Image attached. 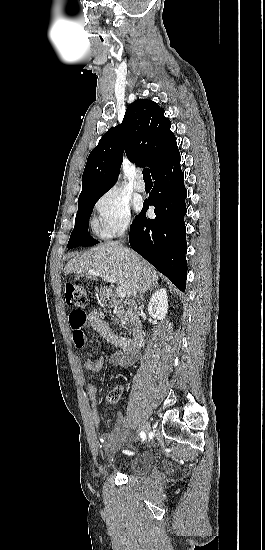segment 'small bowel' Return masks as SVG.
<instances>
[{
  "instance_id": "1",
  "label": "small bowel",
  "mask_w": 265,
  "mask_h": 550,
  "mask_svg": "<svg viewBox=\"0 0 265 550\" xmlns=\"http://www.w3.org/2000/svg\"><path fill=\"white\" fill-rule=\"evenodd\" d=\"M88 326L98 333L107 343L111 346L119 349L120 351L111 356V362L120 367H130L134 364L138 357V350H134L131 345V340L112 331L109 325L99 317L96 312H90L87 316ZM84 328L80 337L77 339V343L82 345L84 343ZM105 363V356H100L95 360H86L84 363L85 368L91 373H98L102 370ZM98 390V384L92 382L88 386V396L92 402L95 401V397ZM128 423L121 414L115 417V427L109 433H103L98 430V438L105 450H109L110 447L122 442L127 436Z\"/></svg>"
}]
</instances>
